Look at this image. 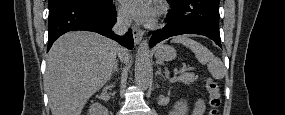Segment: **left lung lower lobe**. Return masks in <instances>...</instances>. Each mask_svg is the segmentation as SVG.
<instances>
[{
    "instance_id": "1",
    "label": "left lung lower lobe",
    "mask_w": 285,
    "mask_h": 115,
    "mask_svg": "<svg viewBox=\"0 0 285 115\" xmlns=\"http://www.w3.org/2000/svg\"><path fill=\"white\" fill-rule=\"evenodd\" d=\"M171 9L167 25L151 34L150 45L182 34H199L221 47L219 33V0H167Z\"/></svg>"
}]
</instances>
